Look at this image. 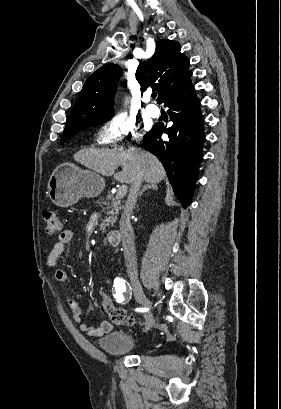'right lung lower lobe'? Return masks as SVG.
<instances>
[{
  "label": "right lung lower lobe",
  "mask_w": 281,
  "mask_h": 409,
  "mask_svg": "<svg viewBox=\"0 0 281 409\" xmlns=\"http://www.w3.org/2000/svg\"><path fill=\"white\" fill-rule=\"evenodd\" d=\"M190 76L191 71L181 86L163 102L169 108L173 124L166 128L163 123H156L143 139V147L162 162L184 208L191 204L205 136L199 100ZM163 133L168 139H161Z\"/></svg>",
  "instance_id": "right-lung-lower-lobe-1"
}]
</instances>
